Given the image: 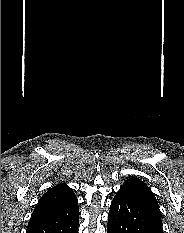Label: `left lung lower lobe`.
I'll use <instances>...</instances> for the list:
<instances>
[{
  "instance_id": "left-lung-lower-lobe-1",
  "label": "left lung lower lobe",
  "mask_w": 184,
  "mask_h": 233,
  "mask_svg": "<svg viewBox=\"0 0 184 233\" xmlns=\"http://www.w3.org/2000/svg\"><path fill=\"white\" fill-rule=\"evenodd\" d=\"M107 233H163V228L144 204L117 192L110 206Z\"/></svg>"
}]
</instances>
